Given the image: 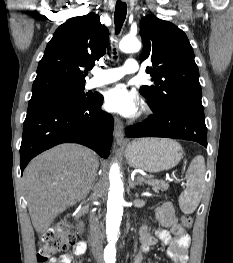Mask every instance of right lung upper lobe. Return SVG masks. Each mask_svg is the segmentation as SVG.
<instances>
[{
  "label": "right lung upper lobe",
  "mask_w": 233,
  "mask_h": 263,
  "mask_svg": "<svg viewBox=\"0 0 233 263\" xmlns=\"http://www.w3.org/2000/svg\"><path fill=\"white\" fill-rule=\"evenodd\" d=\"M108 36V29L94 13L59 26L39 62L32 96L85 85V69L104 54Z\"/></svg>",
  "instance_id": "right-lung-upper-lobe-1"
}]
</instances>
